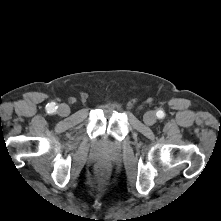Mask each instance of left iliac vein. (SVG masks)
Returning <instances> with one entry per match:
<instances>
[{
	"label": "left iliac vein",
	"instance_id": "obj_1",
	"mask_svg": "<svg viewBox=\"0 0 221 221\" xmlns=\"http://www.w3.org/2000/svg\"><path fill=\"white\" fill-rule=\"evenodd\" d=\"M156 119V114L153 111H148L143 117L145 124L148 126H152L153 124H155Z\"/></svg>",
	"mask_w": 221,
	"mask_h": 221
}]
</instances>
